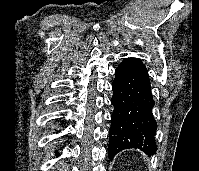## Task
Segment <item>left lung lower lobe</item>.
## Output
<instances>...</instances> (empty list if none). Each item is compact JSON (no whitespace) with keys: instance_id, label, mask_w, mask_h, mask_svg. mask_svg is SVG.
Returning a JSON list of instances; mask_svg holds the SVG:
<instances>
[{"instance_id":"obj_1","label":"left lung lower lobe","mask_w":199,"mask_h":171,"mask_svg":"<svg viewBox=\"0 0 199 171\" xmlns=\"http://www.w3.org/2000/svg\"><path fill=\"white\" fill-rule=\"evenodd\" d=\"M108 155L110 160L124 149L156 153L157 123L152 114L155 105L148 71L138 58L123 59L115 70Z\"/></svg>"}]
</instances>
